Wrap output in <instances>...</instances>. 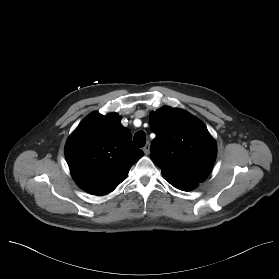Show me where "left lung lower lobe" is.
Wrapping results in <instances>:
<instances>
[{"instance_id":"1","label":"left lung lower lobe","mask_w":279,"mask_h":279,"mask_svg":"<svg viewBox=\"0 0 279 279\" xmlns=\"http://www.w3.org/2000/svg\"><path fill=\"white\" fill-rule=\"evenodd\" d=\"M163 177L172 186H174L177 189L183 190V191L191 190L198 185V183H195V182H192V181H187V180H181V179L171 177V176H168V175H163Z\"/></svg>"}]
</instances>
